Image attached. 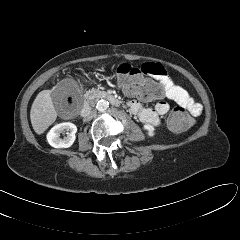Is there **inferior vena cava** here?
Masks as SVG:
<instances>
[{"mask_svg": "<svg viewBox=\"0 0 240 240\" xmlns=\"http://www.w3.org/2000/svg\"><path fill=\"white\" fill-rule=\"evenodd\" d=\"M95 114H96V112L89 108L84 111L83 116H84L85 120L89 121L95 116Z\"/></svg>", "mask_w": 240, "mask_h": 240, "instance_id": "obj_1", "label": "inferior vena cava"}]
</instances>
